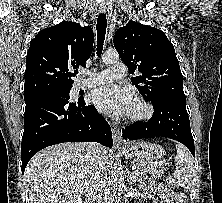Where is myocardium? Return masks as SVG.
<instances>
[{
    "mask_svg": "<svg viewBox=\"0 0 222 203\" xmlns=\"http://www.w3.org/2000/svg\"><path fill=\"white\" fill-rule=\"evenodd\" d=\"M133 103L137 105L140 110L137 113L127 115V119L130 122H141L149 119L153 115V107L145 99L136 97L134 98Z\"/></svg>",
    "mask_w": 222,
    "mask_h": 203,
    "instance_id": "f54148a6",
    "label": "myocardium"
}]
</instances>
